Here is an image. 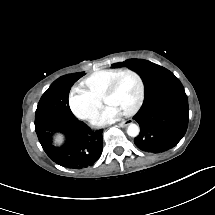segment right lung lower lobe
<instances>
[{
	"instance_id": "1",
	"label": "right lung lower lobe",
	"mask_w": 215,
	"mask_h": 215,
	"mask_svg": "<svg viewBox=\"0 0 215 215\" xmlns=\"http://www.w3.org/2000/svg\"><path fill=\"white\" fill-rule=\"evenodd\" d=\"M39 142L55 163L73 169L92 166L101 156L103 147L102 129L92 131L78 119H56L35 123ZM56 133L65 135L62 146H54L52 139Z\"/></svg>"
}]
</instances>
